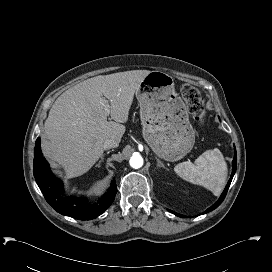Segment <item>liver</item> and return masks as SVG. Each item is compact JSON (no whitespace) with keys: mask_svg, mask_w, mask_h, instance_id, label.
Wrapping results in <instances>:
<instances>
[{"mask_svg":"<svg viewBox=\"0 0 272 272\" xmlns=\"http://www.w3.org/2000/svg\"><path fill=\"white\" fill-rule=\"evenodd\" d=\"M149 73L132 70L100 75L61 94L44 124V156L55 167H63L67 178L89 171L102 156L105 140L121 141L134 93ZM103 96L109 100L114 121H107Z\"/></svg>","mask_w":272,"mask_h":272,"instance_id":"6515ba94","label":"liver"}]
</instances>
